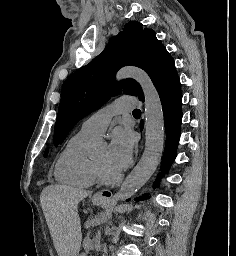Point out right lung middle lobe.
<instances>
[{"label":"right lung middle lobe","instance_id":"right-lung-middle-lobe-1","mask_svg":"<svg viewBox=\"0 0 236 256\" xmlns=\"http://www.w3.org/2000/svg\"><path fill=\"white\" fill-rule=\"evenodd\" d=\"M47 154H48V149H46L44 156H47Z\"/></svg>","mask_w":236,"mask_h":256}]
</instances>
